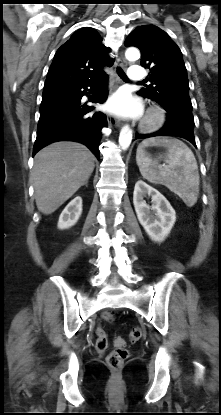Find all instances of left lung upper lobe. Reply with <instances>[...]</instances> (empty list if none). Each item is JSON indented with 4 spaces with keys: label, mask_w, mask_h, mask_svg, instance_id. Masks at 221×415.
Wrapping results in <instances>:
<instances>
[{
    "label": "left lung upper lobe",
    "mask_w": 221,
    "mask_h": 415,
    "mask_svg": "<svg viewBox=\"0 0 221 415\" xmlns=\"http://www.w3.org/2000/svg\"><path fill=\"white\" fill-rule=\"evenodd\" d=\"M141 51V65L150 70L151 85L137 93L162 106L191 104L189 82L182 53L170 36L155 25L137 27L125 41Z\"/></svg>",
    "instance_id": "left-lung-upper-lobe-1"
}]
</instances>
